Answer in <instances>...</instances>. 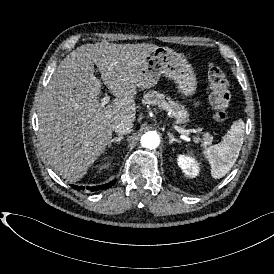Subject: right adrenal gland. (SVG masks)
Here are the masks:
<instances>
[{
	"instance_id": "right-adrenal-gland-1",
	"label": "right adrenal gland",
	"mask_w": 274,
	"mask_h": 274,
	"mask_svg": "<svg viewBox=\"0 0 274 274\" xmlns=\"http://www.w3.org/2000/svg\"><path fill=\"white\" fill-rule=\"evenodd\" d=\"M122 140V135H118L117 137H115L112 140V144L108 147V149H110V147H112L114 144H118L120 145V141Z\"/></svg>"
}]
</instances>
